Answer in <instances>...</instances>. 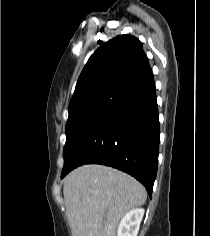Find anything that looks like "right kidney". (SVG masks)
Here are the masks:
<instances>
[{
    "mask_svg": "<svg viewBox=\"0 0 210 236\" xmlns=\"http://www.w3.org/2000/svg\"><path fill=\"white\" fill-rule=\"evenodd\" d=\"M144 216V209H133L122 218L117 236H137L140 223Z\"/></svg>",
    "mask_w": 210,
    "mask_h": 236,
    "instance_id": "1",
    "label": "right kidney"
}]
</instances>
